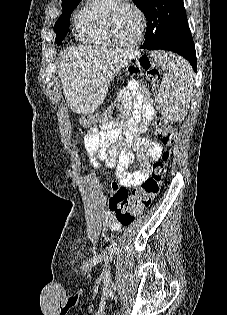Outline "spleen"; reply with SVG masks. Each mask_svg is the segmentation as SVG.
Returning a JSON list of instances; mask_svg holds the SVG:
<instances>
[{"label":"spleen","mask_w":227,"mask_h":315,"mask_svg":"<svg viewBox=\"0 0 227 315\" xmlns=\"http://www.w3.org/2000/svg\"><path fill=\"white\" fill-rule=\"evenodd\" d=\"M152 57L165 72L155 97L156 107L168 119L182 121L192 95V70L185 60L171 53L156 51Z\"/></svg>","instance_id":"obj_1"}]
</instances>
